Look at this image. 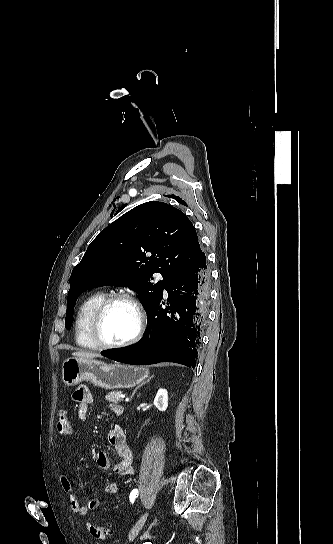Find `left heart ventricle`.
Here are the masks:
<instances>
[{
    "label": "left heart ventricle",
    "mask_w": 333,
    "mask_h": 544,
    "mask_svg": "<svg viewBox=\"0 0 333 544\" xmlns=\"http://www.w3.org/2000/svg\"><path fill=\"white\" fill-rule=\"evenodd\" d=\"M137 327V315L127 302H115L106 310L101 326L102 339L108 343H119L133 335Z\"/></svg>",
    "instance_id": "1"
}]
</instances>
